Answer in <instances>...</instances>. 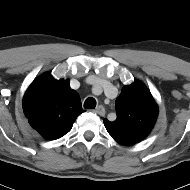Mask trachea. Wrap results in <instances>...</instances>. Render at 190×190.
Returning <instances> with one entry per match:
<instances>
[{
  "label": "trachea",
  "mask_w": 190,
  "mask_h": 190,
  "mask_svg": "<svg viewBox=\"0 0 190 190\" xmlns=\"http://www.w3.org/2000/svg\"><path fill=\"white\" fill-rule=\"evenodd\" d=\"M96 100L93 97H88L84 102V108L95 109Z\"/></svg>",
  "instance_id": "3493384b"
}]
</instances>
